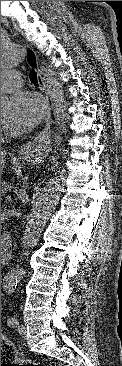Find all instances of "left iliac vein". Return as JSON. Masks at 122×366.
<instances>
[{"instance_id": "4c4485c4", "label": "left iliac vein", "mask_w": 122, "mask_h": 366, "mask_svg": "<svg viewBox=\"0 0 122 366\" xmlns=\"http://www.w3.org/2000/svg\"><path fill=\"white\" fill-rule=\"evenodd\" d=\"M18 331H19L20 335L25 337V335H26V326L23 325V324L18 325Z\"/></svg>"}]
</instances>
